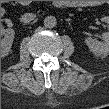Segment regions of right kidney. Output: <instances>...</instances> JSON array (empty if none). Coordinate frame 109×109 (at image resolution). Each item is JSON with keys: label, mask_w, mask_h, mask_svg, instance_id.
<instances>
[{"label": "right kidney", "mask_w": 109, "mask_h": 109, "mask_svg": "<svg viewBox=\"0 0 109 109\" xmlns=\"http://www.w3.org/2000/svg\"><path fill=\"white\" fill-rule=\"evenodd\" d=\"M1 34L4 36L1 39V55L4 57L10 52L15 32L13 29H3Z\"/></svg>", "instance_id": "ca27d5eb"}]
</instances>
